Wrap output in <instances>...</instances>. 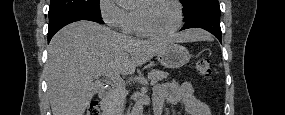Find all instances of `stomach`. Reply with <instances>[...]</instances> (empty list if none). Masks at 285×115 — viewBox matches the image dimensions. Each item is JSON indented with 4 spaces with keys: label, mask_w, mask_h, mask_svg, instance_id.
<instances>
[{
    "label": "stomach",
    "mask_w": 285,
    "mask_h": 115,
    "mask_svg": "<svg viewBox=\"0 0 285 115\" xmlns=\"http://www.w3.org/2000/svg\"><path fill=\"white\" fill-rule=\"evenodd\" d=\"M158 61L166 68H180L191 58L189 51L182 45L172 43L157 53Z\"/></svg>",
    "instance_id": "1"
}]
</instances>
